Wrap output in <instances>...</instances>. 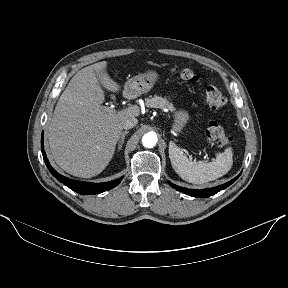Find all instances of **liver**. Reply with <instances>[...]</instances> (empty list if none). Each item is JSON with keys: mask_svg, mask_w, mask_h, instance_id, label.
Wrapping results in <instances>:
<instances>
[{"mask_svg": "<svg viewBox=\"0 0 288 288\" xmlns=\"http://www.w3.org/2000/svg\"><path fill=\"white\" fill-rule=\"evenodd\" d=\"M102 61L78 71L60 96L48 128L51 155L71 175L90 178L111 161L126 119L140 115L139 107L109 113L102 106L105 96L97 74L106 71ZM103 86L118 92L120 86L102 75Z\"/></svg>", "mask_w": 288, "mask_h": 288, "instance_id": "6515ba94", "label": "liver"}]
</instances>
